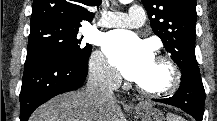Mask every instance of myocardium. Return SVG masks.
Listing matches in <instances>:
<instances>
[{
	"instance_id": "obj_1",
	"label": "myocardium",
	"mask_w": 217,
	"mask_h": 121,
	"mask_svg": "<svg viewBox=\"0 0 217 121\" xmlns=\"http://www.w3.org/2000/svg\"><path fill=\"white\" fill-rule=\"evenodd\" d=\"M155 61L164 65L168 72V79L165 84L158 88H148L138 82L136 83V89L144 96L152 98H161L171 94H174L181 86L182 74L178 64L170 56L159 55L155 58Z\"/></svg>"
}]
</instances>
